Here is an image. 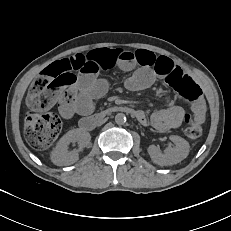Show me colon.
I'll return each instance as SVG.
<instances>
[{"instance_id": "5ec220e1", "label": "colon", "mask_w": 231, "mask_h": 231, "mask_svg": "<svg viewBox=\"0 0 231 231\" xmlns=\"http://www.w3.org/2000/svg\"><path fill=\"white\" fill-rule=\"evenodd\" d=\"M75 74L66 63L58 61L45 68L33 81L27 95L30 112L26 116L24 133L28 143L42 150L52 145L61 131L60 118L47 110L61 97L71 95ZM168 83L181 96L196 100L201 96L199 86L187 74H172ZM184 134L192 140L198 139L202 128L186 121Z\"/></svg>"}]
</instances>
